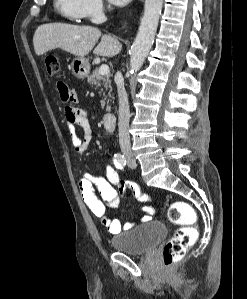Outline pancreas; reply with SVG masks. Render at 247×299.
Instances as JSON below:
<instances>
[{
  "label": "pancreas",
  "mask_w": 247,
  "mask_h": 299,
  "mask_svg": "<svg viewBox=\"0 0 247 299\" xmlns=\"http://www.w3.org/2000/svg\"><path fill=\"white\" fill-rule=\"evenodd\" d=\"M88 82L90 83V85L95 86L96 89L100 87L101 92L104 91L103 92L104 99L101 100V108H104L105 101H107L106 111H110V107L108 106L109 99L107 98V96H111V91H112L110 75H105V76L100 75L99 71L96 69L88 77Z\"/></svg>",
  "instance_id": "obj_1"
}]
</instances>
